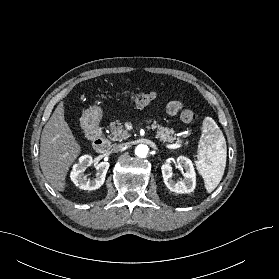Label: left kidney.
Segmentation results:
<instances>
[{
    "label": "left kidney",
    "instance_id": "left-kidney-1",
    "mask_svg": "<svg viewBox=\"0 0 279 279\" xmlns=\"http://www.w3.org/2000/svg\"><path fill=\"white\" fill-rule=\"evenodd\" d=\"M176 166L184 170V179L174 181L172 179V166L170 163H164L161 167L162 176L167 188L175 193L184 194L194 191L196 186V173L192 161L184 156H179L176 160Z\"/></svg>",
    "mask_w": 279,
    "mask_h": 279
}]
</instances>
